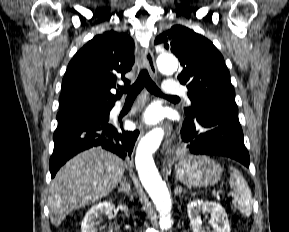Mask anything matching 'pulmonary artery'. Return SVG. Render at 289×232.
I'll return each instance as SVG.
<instances>
[{
  "instance_id": "obj_1",
  "label": "pulmonary artery",
  "mask_w": 289,
  "mask_h": 232,
  "mask_svg": "<svg viewBox=\"0 0 289 232\" xmlns=\"http://www.w3.org/2000/svg\"><path fill=\"white\" fill-rule=\"evenodd\" d=\"M163 92L166 94H185L186 93V88L181 85L179 82L173 80V79H168L165 80L163 83ZM122 104L118 103L114 110L117 112L121 109Z\"/></svg>"
}]
</instances>
